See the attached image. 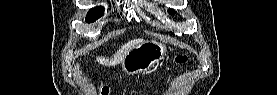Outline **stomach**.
Segmentation results:
<instances>
[{
  "instance_id": "1",
  "label": "stomach",
  "mask_w": 277,
  "mask_h": 95,
  "mask_svg": "<svg viewBox=\"0 0 277 95\" xmlns=\"http://www.w3.org/2000/svg\"><path fill=\"white\" fill-rule=\"evenodd\" d=\"M166 51V45L161 42L142 41L124 57L122 70L128 75L146 73L165 57Z\"/></svg>"
}]
</instances>
